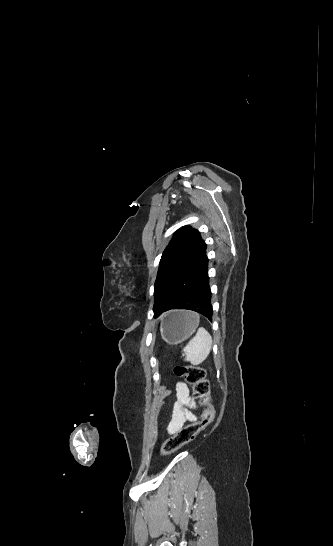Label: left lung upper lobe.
Returning <instances> with one entry per match:
<instances>
[{
  "instance_id": "1",
  "label": "left lung upper lobe",
  "mask_w": 333,
  "mask_h": 546,
  "mask_svg": "<svg viewBox=\"0 0 333 546\" xmlns=\"http://www.w3.org/2000/svg\"><path fill=\"white\" fill-rule=\"evenodd\" d=\"M204 241L200 233L188 226L176 231L160 260L157 278L154 284V316H159L167 292L174 279L201 252Z\"/></svg>"
}]
</instances>
